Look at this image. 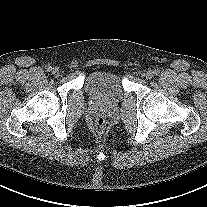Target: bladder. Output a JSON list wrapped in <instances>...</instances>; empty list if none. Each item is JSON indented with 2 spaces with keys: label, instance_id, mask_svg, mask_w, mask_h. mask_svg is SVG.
<instances>
[{
  "label": "bladder",
  "instance_id": "1",
  "mask_svg": "<svg viewBox=\"0 0 207 207\" xmlns=\"http://www.w3.org/2000/svg\"><path fill=\"white\" fill-rule=\"evenodd\" d=\"M86 89L92 97L102 100L115 99L123 93L120 75L105 70L91 73L86 80Z\"/></svg>",
  "mask_w": 207,
  "mask_h": 207
}]
</instances>
